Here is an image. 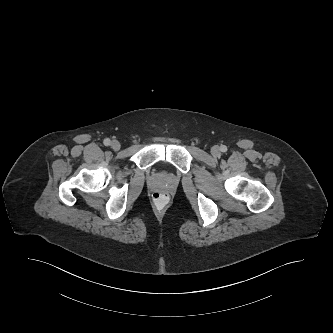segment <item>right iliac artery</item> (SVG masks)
<instances>
[{
  "instance_id": "right-iliac-artery-1",
  "label": "right iliac artery",
  "mask_w": 333,
  "mask_h": 333,
  "mask_svg": "<svg viewBox=\"0 0 333 333\" xmlns=\"http://www.w3.org/2000/svg\"><path fill=\"white\" fill-rule=\"evenodd\" d=\"M103 143H104V145L108 146V145H110L111 141H110V139L106 138Z\"/></svg>"
}]
</instances>
